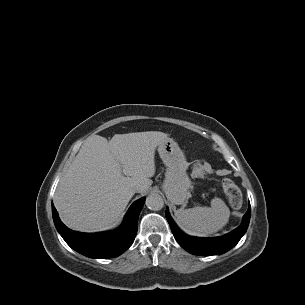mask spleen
I'll return each instance as SVG.
<instances>
[{
	"instance_id": "obj_1",
	"label": "spleen",
	"mask_w": 305,
	"mask_h": 305,
	"mask_svg": "<svg viewBox=\"0 0 305 305\" xmlns=\"http://www.w3.org/2000/svg\"><path fill=\"white\" fill-rule=\"evenodd\" d=\"M230 210L218 197L211 200V207L180 208L175 211L179 227L189 235L206 237L222 229L228 222Z\"/></svg>"
}]
</instances>
